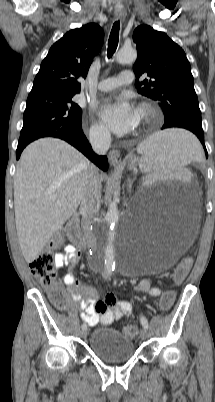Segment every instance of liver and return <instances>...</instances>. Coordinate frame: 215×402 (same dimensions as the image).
I'll return each instance as SVG.
<instances>
[{
    "instance_id": "liver-1",
    "label": "liver",
    "mask_w": 215,
    "mask_h": 402,
    "mask_svg": "<svg viewBox=\"0 0 215 402\" xmlns=\"http://www.w3.org/2000/svg\"><path fill=\"white\" fill-rule=\"evenodd\" d=\"M93 166L74 147L41 138L22 152L14 176V209L19 245L27 263L75 213Z\"/></svg>"
}]
</instances>
